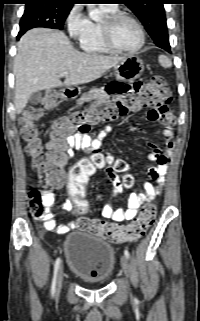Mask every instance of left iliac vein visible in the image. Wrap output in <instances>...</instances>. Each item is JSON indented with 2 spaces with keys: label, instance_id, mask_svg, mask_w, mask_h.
Segmentation results:
<instances>
[{
  "label": "left iliac vein",
  "instance_id": "4c4485c4",
  "mask_svg": "<svg viewBox=\"0 0 200 321\" xmlns=\"http://www.w3.org/2000/svg\"><path fill=\"white\" fill-rule=\"evenodd\" d=\"M121 266L125 275L128 276L130 271V265H129L128 258L125 255L121 257Z\"/></svg>",
  "mask_w": 200,
  "mask_h": 321
}]
</instances>
